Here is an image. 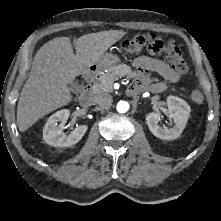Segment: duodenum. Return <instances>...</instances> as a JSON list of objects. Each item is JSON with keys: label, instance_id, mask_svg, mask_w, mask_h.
<instances>
[{"label": "duodenum", "instance_id": "1", "mask_svg": "<svg viewBox=\"0 0 221 221\" xmlns=\"http://www.w3.org/2000/svg\"><path fill=\"white\" fill-rule=\"evenodd\" d=\"M98 72L96 66L90 67L84 77V85L80 93V101L82 104L87 105L92 99L91 81Z\"/></svg>", "mask_w": 221, "mask_h": 221}]
</instances>
